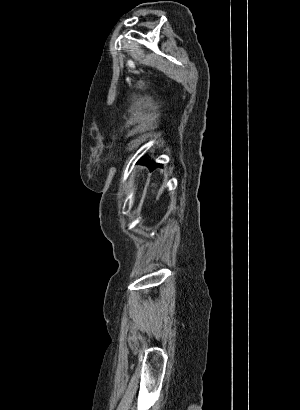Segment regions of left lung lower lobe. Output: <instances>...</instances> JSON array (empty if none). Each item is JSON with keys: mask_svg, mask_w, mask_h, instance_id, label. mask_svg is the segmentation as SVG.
Here are the masks:
<instances>
[{"mask_svg": "<svg viewBox=\"0 0 300 410\" xmlns=\"http://www.w3.org/2000/svg\"><path fill=\"white\" fill-rule=\"evenodd\" d=\"M139 163L147 164L151 170H153L157 166H161L160 164H155L152 161H148L146 158H143Z\"/></svg>", "mask_w": 300, "mask_h": 410, "instance_id": "obj_1", "label": "left lung lower lobe"}]
</instances>
